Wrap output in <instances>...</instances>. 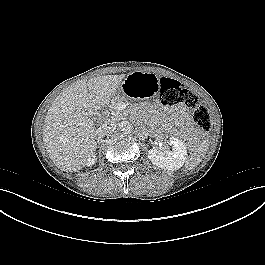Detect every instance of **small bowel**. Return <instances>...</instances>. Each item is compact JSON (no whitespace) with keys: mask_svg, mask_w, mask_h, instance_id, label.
Wrapping results in <instances>:
<instances>
[{"mask_svg":"<svg viewBox=\"0 0 265 265\" xmlns=\"http://www.w3.org/2000/svg\"><path fill=\"white\" fill-rule=\"evenodd\" d=\"M175 114L180 118H187L189 116V112L185 107H179L175 110Z\"/></svg>","mask_w":265,"mask_h":265,"instance_id":"obj_1","label":"small bowel"}]
</instances>
